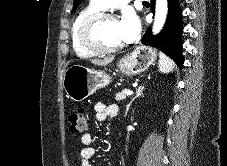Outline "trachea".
Masks as SVG:
<instances>
[{"label": "trachea", "mask_w": 227, "mask_h": 166, "mask_svg": "<svg viewBox=\"0 0 227 166\" xmlns=\"http://www.w3.org/2000/svg\"><path fill=\"white\" fill-rule=\"evenodd\" d=\"M143 3H144V4H148V2H145V1H144Z\"/></svg>", "instance_id": "3493384b"}]
</instances>
